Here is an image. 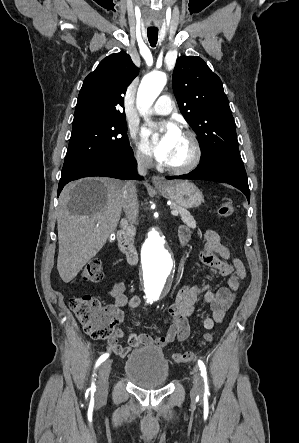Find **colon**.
Segmentation results:
<instances>
[{"instance_id": "5ec220e1", "label": "colon", "mask_w": 299, "mask_h": 443, "mask_svg": "<svg viewBox=\"0 0 299 443\" xmlns=\"http://www.w3.org/2000/svg\"><path fill=\"white\" fill-rule=\"evenodd\" d=\"M217 212L223 218L230 217L234 212L231 200L226 199L219 206ZM103 276L101 262L98 259L89 261L82 272V279L91 283L100 282ZM69 307L90 337L96 340H107L113 337L117 319L114 313L102 306L97 298L88 294L74 296L69 299ZM212 340L213 334L206 332L202 337L201 345L205 346ZM194 358L193 351H180L172 355V359L176 363H187Z\"/></svg>"}]
</instances>
